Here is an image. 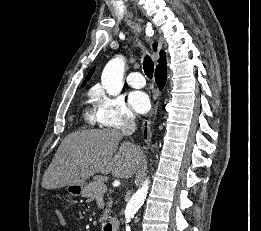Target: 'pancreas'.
I'll use <instances>...</instances> for the list:
<instances>
[{
  "label": "pancreas",
  "instance_id": "obj_1",
  "mask_svg": "<svg viewBox=\"0 0 261 231\" xmlns=\"http://www.w3.org/2000/svg\"><path fill=\"white\" fill-rule=\"evenodd\" d=\"M105 186L104 178L102 176H96L92 182H90L85 189L84 196L88 198L89 201H94L98 195H103L105 192H102L101 187ZM112 202H108L103 216L100 218V222H103L108 219L110 213V207Z\"/></svg>",
  "mask_w": 261,
  "mask_h": 231
}]
</instances>
